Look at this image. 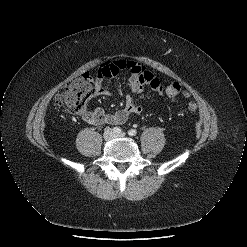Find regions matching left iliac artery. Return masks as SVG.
Segmentation results:
<instances>
[{
  "label": "left iliac artery",
  "mask_w": 247,
  "mask_h": 247,
  "mask_svg": "<svg viewBox=\"0 0 247 247\" xmlns=\"http://www.w3.org/2000/svg\"><path fill=\"white\" fill-rule=\"evenodd\" d=\"M128 134L130 136H135L137 134V131L135 129H131V130L128 131Z\"/></svg>",
  "instance_id": "44dca946"
}]
</instances>
